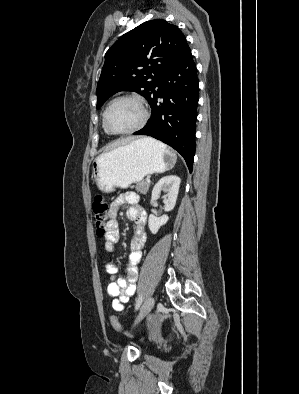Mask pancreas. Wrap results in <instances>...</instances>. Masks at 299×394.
<instances>
[{
    "instance_id": "pancreas-1",
    "label": "pancreas",
    "mask_w": 299,
    "mask_h": 394,
    "mask_svg": "<svg viewBox=\"0 0 299 394\" xmlns=\"http://www.w3.org/2000/svg\"><path fill=\"white\" fill-rule=\"evenodd\" d=\"M149 186H150L149 183L145 181H141L138 182L134 187L137 192H140L141 194H146L148 192Z\"/></svg>"
}]
</instances>
